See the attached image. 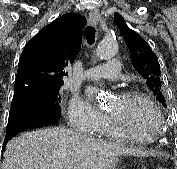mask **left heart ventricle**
Segmentation results:
<instances>
[{"instance_id":"1","label":"left heart ventricle","mask_w":177,"mask_h":169,"mask_svg":"<svg viewBox=\"0 0 177 169\" xmlns=\"http://www.w3.org/2000/svg\"><path fill=\"white\" fill-rule=\"evenodd\" d=\"M108 113L118 116L127 133L134 136L152 135L160 129L157 113L140 100L129 101L119 95L109 106Z\"/></svg>"}]
</instances>
